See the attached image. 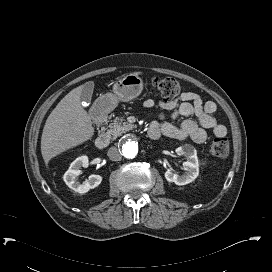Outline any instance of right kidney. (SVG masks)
Returning <instances> with one entry per match:
<instances>
[{"label": "right kidney", "instance_id": "right-kidney-1", "mask_svg": "<svg viewBox=\"0 0 272 272\" xmlns=\"http://www.w3.org/2000/svg\"><path fill=\"white\" fill-rule=\"evenodd\" d=\"M88 164L89 160L87 156L78 157L70 164L69 169L65 172L63 176V180L66 185L80 194H84L90 189L97 187L102 181V177L95 174L90 175L88 180L82 184L77 181V176L80 175L81 168L87 167Z\"/></svg>", "mask_w": 272, "mask_h": 272}]
</instances>
